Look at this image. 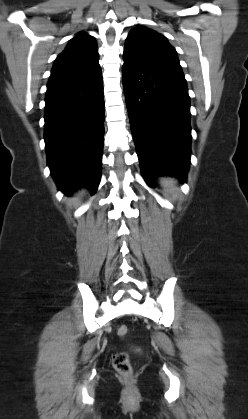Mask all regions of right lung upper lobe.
<instances>
[{
  "label": "right lung upper lobe",
  "mask_w": 248,
  "mask_h": 419,
  "mask_svg": "<svg viewBox=\"0 0 248 419\" xmlns=\"http://www.w3.org/2000/svg\"><path fill=\"white\" fill-rule=\"evenodd\" d=\"M97 64L98 47L94 37L80 32L56 58L49 80L77 75Z\"/></svg>",
  "instance_id": "right-lung-upper-lobe-1"
}]
</instances>
